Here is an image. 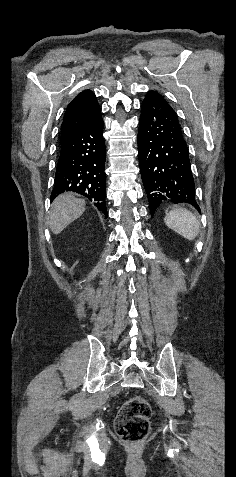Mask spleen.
Instances as JSON below:
<instances>
[{
	"instance_id": "3e777b00",
	"label": "spleen",
	"mask_w": 236,
	"mask_h": 477,
	"mask_svg": "<svg viewBox=\"0 0 236 477\" xmlns=\"http://www.w3.org/2000/svg\"><path fill=\"white\" fill-rule=\"evenodd\" d=\"M166 225L188 240H193L199 233V221L186 209H175L164 219Z\"/></svg>"
}]
</instances>
